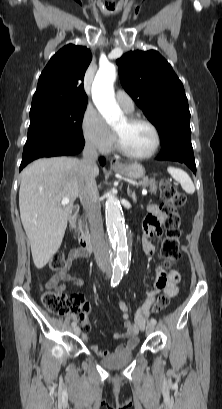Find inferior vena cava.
<instances>
[{"label": "inferior vena cava", "instance_id": "1", "mask_svg": "<svg viewBox=\"0 0 222 409\" xmlns=\"http://www.w3.org/2000/svg\"><path fill=\"white\" fill-rule=\"evenodd\" d=\"M98 152L92 142H86L83 158L80 161V202L90 224L91 241L96 263L103 271L111 269L109 247L105 240L101 208L98 204V189L95 181V170Z\"/></svg>", "mask_w": 222, "mask_h": 409}]
</instances>
